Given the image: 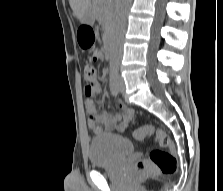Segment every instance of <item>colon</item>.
<instances>
[{"mask_svg": "<svg viewBox=\"0 0 223 191\" xmlns=\"http://www.w3.org/2000/svg\"><path fill=\"white\" fill-rule=\"evenodd\" d=\"M78 42L84 50L89 51L93 56L98 55L96 48L95 32L90 26H83L78 33ZM96 68L87 64L84 67V78L88 84H92L96 78ZM153 135L158 145L150 151L147 160H140L135 164L137 174H152L159 171L162 174H173L177 170V159L175 148L168 135L162 130H155L152 125H144L134 132L136 139H143Z\"/></svg>", "mask_w": 223, "mask_h": 191, "instance_id": "1", "label": "colon"}]
</instances>
